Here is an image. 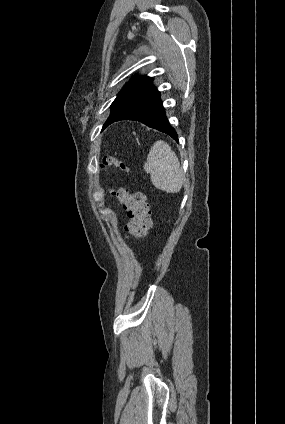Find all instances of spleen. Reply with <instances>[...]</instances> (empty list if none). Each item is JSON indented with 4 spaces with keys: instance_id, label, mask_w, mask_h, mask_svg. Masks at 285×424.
<instances>
[{
    "instance_id": "1",
    "label": "spleen",
    "mask_w": 285,
    "mask_h": 424,
    "mask_svg": "<svg viewBox=\"0 0 285 424\" xmlns=\"http://www.w3.org/2000/svg\"><path fill=\"white\" fill-rule=\"evenodd\" d=\"M153 185L167 193H177L183 185V170L175 152L164 141H157L151 147L144 164Z\"/></svg>"
}]
</instances>
